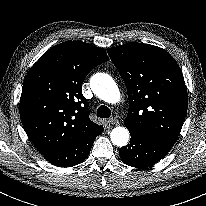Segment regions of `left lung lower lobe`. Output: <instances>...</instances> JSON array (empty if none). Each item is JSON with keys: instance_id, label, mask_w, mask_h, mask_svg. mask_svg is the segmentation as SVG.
<instances>
[{"instance_id": "left-lung-lower-lobe-1", "label": "left lung lower lobe", "mask_w": 206, "mask_h": 206, "mask_svg": "<svg viewBox=\"0 0 206 206\" xmlns=\"http://www.w3.org/2000/svg\"><path fill=\"white\" fill-rule=\"evenodd\" d=\"M173 145L131 134L130 144L120 148L119 155L126 165L146 168L160 161Z\"/></svg>"}]
</instances>
